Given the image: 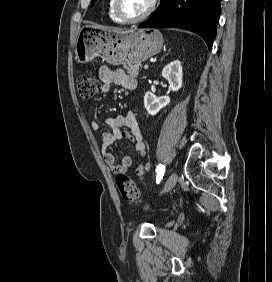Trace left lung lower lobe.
I'll return each instance as SVG.
<instances>
[{
  "instance_id": "1",
  "label": "left lung lower lobe",
  "mask_w": 272,
  "mask_h": 282,
  "mask_svg": "<svg viewBox=\"0 0 272 282\" xmlns=\"http://www.w3.org/2000/svg\"><path fill=\"white\" fill-rule=\"evenodd\" d=\"M221 0H161L156 13L139 28L178 27L199 34L209 48L217 32Z\"/></svg>"
}]
</instances>
